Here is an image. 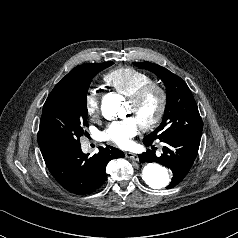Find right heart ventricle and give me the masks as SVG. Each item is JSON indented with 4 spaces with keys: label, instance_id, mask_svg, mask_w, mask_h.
Segmentation results:
<instances>
[{
    "label": "right heart ventricle",
    "instance_id": "1",
    "mask_svg": "<svg viewBox=\"0 0 238 238\" xmlns=\"http://www.w3.org/2000/svg\"><path fill=\"white\" fill-rule=\"evenodd\" d=\"M104 84L125 97H131L138 89L152 81L151 77L131 67H118L103 75Z\"/></svg>",
    "mask_w": 238,
    "mask_h": 238
}]
</instances>
